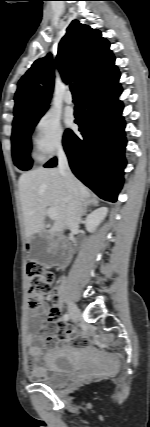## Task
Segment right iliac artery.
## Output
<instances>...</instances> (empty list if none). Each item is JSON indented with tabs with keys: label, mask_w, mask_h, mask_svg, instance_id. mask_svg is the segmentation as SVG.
<instances>
[{
	"label": "right iliac artery",
	"mask_w": 150,
	"mask_h": 427,
	"mask_svg": "<svg viewBox=\"0 0 150 427\" xmlns=\"http://www.w3.org/2000/svg\"><path fill=\"white\" fill-rule=\"evenodd\" d=\"M63 319L65 320V321H68L69 319H70V316H69V314H64V316H63Z\"/></svg>",
	"instance_id": "right-iliac-artery-1"
}]
</instances>
